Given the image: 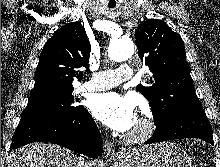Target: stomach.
I'll list each match as a JSON object with an SVG mask.
<instances>
[{"label": "stomach", "instance_id": "0dacf381", "mask_svg": "<svg viewBox=\"0 0 220 167\" xmlns=\"http://www.w3.org/2000/svg\"><path fill=\"white\" fill-rule=\"evenodd\" d=\"M116 163L119 167H192L185 150L172 142L128 150Z\"/></svg>", "mask_w": 220, "mask_h": 167}]
</instances>
